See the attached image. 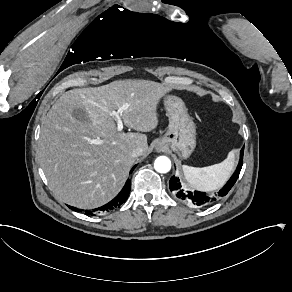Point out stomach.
<instances>
[{
	"label": "stomach",
	"mask_w": 292,
	"mask_h": 292,
	"mask_svg": "<svg viewBox=\"0 0 292 292\" xmlns=\"http://www.w3.org/2000/svg\"><path fill=\"white\" fill-rule=\"evenodd\" d=\"M166 110L169 114V124L165 135L155 144V151H164L170 146L183 158L189 157L193 152L195 140V126L187 114L184 103L177 97H169L165 101Z\"/></svg>",
	"instance_id": "obj_1"
}]
</instances>
